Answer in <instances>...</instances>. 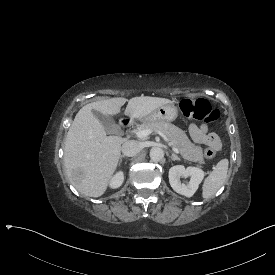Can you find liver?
I'll use <instances>...</instances> for the list:
<instances>
[{
    "mask_svg": "<svg viewBox=\"0 0 275 275\" xmlns=\"http://www.w3.org/2000/svg\"><path fill=\"white\" fill-rule=\"evenodd\" d=\"M128 101L126 110L121 107ZM173 103L160 97L140 96L126 99L114 97L84 105L74 117L65 139L64 166L71 184L83 195L101 197L107 191L121 157V145L128 138L107 136L105 126L92 112L107 118L123 115L143 119L159 107ZM81 170L82 176H74Z\"/></svg>",
    "mask_w": 275,
    "mask_h": 275,
    "instance_id": "1",
    "label": "liver"
}]
</instances>
